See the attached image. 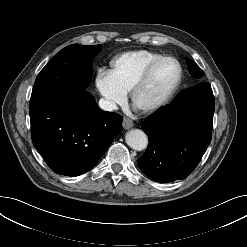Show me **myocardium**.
I'll return each instance as SVG.
<instances>
[{"label": "myocardium", "mask_w": 247, "mask_h": 247, "mask_svg": "<svg viewBox=\"0 0 247 247\" xmlns=\"http://www.w3.org/2000/svg\"><path fill=\"white\" fill-rule=\"evenodd\" d=\"M163 60H171L176 64L177 69H178L177 77L174 83L172 84V86L169 88V90L160 99H158L156 102L146 107L140 108L143 112H153V111L158 110L162 106H164L170 100L173 94L176 92V90L178 89L181 83L183 70H182V66L180 62L175 57L170 56V55L159 56L158 58H156L155 60H153L146 66V68L143 70V72L140 74V76L137 78V80L133 84L130 90L131 91L130 96H131L132 102L136 105L135 101H136V97L138 93L147 83L154 68Z\"/></svg>", "instance_id": "1"}]
</instances>
